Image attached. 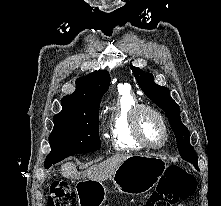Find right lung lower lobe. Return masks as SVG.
Listing matches in <instances>:
<instances>
[{"mask_svg":"<svg viewBox=\"0 0 221 206\" xmlns=\"http://www.w3.org/2000/svg\"><path fill=\"white\" fill-rule=\"evenodd\" d=\"M49 167H50V165H46V166H45V168H47V169H48Z\"/></svg>","mask_w":221,"mask_h":206,"instance_id":"obj_1","label":"right lung lower lobe"}]
</instances>
